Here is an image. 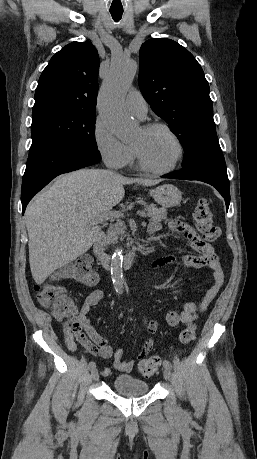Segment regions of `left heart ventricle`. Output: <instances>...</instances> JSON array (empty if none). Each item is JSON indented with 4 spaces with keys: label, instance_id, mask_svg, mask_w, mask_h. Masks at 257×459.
Here are the masks:
<instances>
[{
    "label": "left heart ventricle",
    "instance_id": "1",
    "mask_svg": "<svg viewBox=\"0 0 257 459\" xmlns=\"http://www.w3.org/2000/svg\"><path fill=\"white\" fill-rule=\"evenodd\" d=\"M133 145H136L145 160L156 168L169 166L177 156V146L174 140L161 129L147 132L141 128L134 138Z\"/></svg>",
    "mask_w": 257,
    "mask_h": 459
}]
</instances>
